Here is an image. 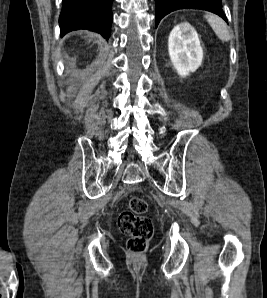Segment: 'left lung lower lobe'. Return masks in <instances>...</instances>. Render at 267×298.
<instances>
[{
    "label": "left lung lower lobe",
    "mask_w": 267,
    "mask_h": 298,
    "mask_svg": "<svg viewBox=\"0 0 267 298\" xmlns=\"http://www.w3.org/2000/svg\"><path fill=\"white\" fill-rule=\"evenodd\" d=\"M156 15L155 24L158 26L160 20L170 12L178 9H202L213 12L227 19L223 14L222 0H155Z\"/></svg>",
    "instance_id": "left-lung-lower-lobe-1"
}]
</instances>
